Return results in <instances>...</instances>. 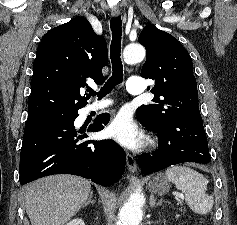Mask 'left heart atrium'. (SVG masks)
Masks as SVG:
<instances>
[{
	"label": "left heart atrium",
	"mask_w": 237,
	"mask_h": 225,
	"mask_svg": "<svg viewBox=\"0 0 237 225\" xmlns=\"http://www.w3.org/2000/svg\"><path fill=\"white\" fill-rule=\"evenodd\" d=\"M106 134L126 147H136L141 140L129 113L120 112L109 124Z\"/></svg>",
	"instance_id": "1"
}]
</instances>
